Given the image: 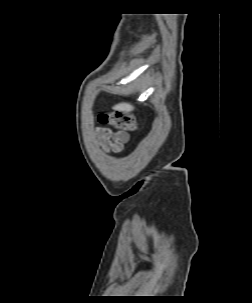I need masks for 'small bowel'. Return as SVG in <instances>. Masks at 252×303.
<instances>
[{
    "instance_id": "1",
    "label": "small bowel",
    "mask_w": 252,
    "mask_h": 303,
    "mask_svg": "<svg viewBox=\"0 0 252 303\" xmlns=\"http://www.w3.org/2000/svg\"><path fill=\"white\" fill-rule=\"evenodd\" d=\"M95 133L99 147L107 153H121L129 138V133L125 130L113 131L98 127Z\"/></svg>"
}]
</instances>
